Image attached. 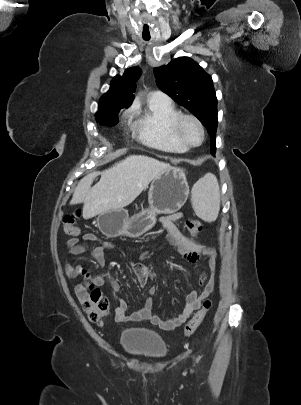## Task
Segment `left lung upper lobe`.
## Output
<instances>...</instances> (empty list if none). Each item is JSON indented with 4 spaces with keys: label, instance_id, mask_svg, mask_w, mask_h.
Wrapping results in <instances>:
<instances>
[{
    "label": "left lung upper lobe",
    "instance_id": "5c2ea615",
    "mask_svg": "<svg viewBox=\"0 0 301 405\" xmlns=\"http://www.w3.org/2000/svg\"><path fill=\"white\" fill-rule=\"evenodd\" d=\"M154 74L158 87L186 107L207 128L211 153L214 155L218 112L211 76L188 57H180L168 65L156 67Z\"/></svg>",
    "mask_w": 301,
    "mask_h": 405
}]
</instances>
